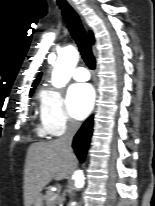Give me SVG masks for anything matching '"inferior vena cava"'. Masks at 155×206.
<instances>
[{"label":"inferior vena cava","instance_id":"obj_1","mask_svg":"<svg viewBox=\"0 0 155 206\" xmlns=\"http://www.w3.org/2000/svg\"><path fill=\"white\" fill-rule=\"evenodd\" d=\"M80 127V123L74 119H70L67 125L66 133L60 138L61 143L68 151H72V140Z\"/></svg>","mask_w":155,"mask_h":206}]
</instances>
